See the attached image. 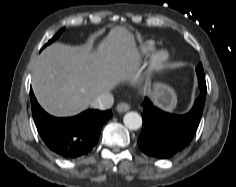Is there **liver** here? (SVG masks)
<instances>
[{
    "label": "liver",
    "instance_id": "6515ba94",
    "mask_svg": "<svg viewBox=\"0 0 236 187\" xmlns=\"http://www.w3.org/2000/svg\"><path fill=\"white\" fill-rule=\"evenodd\" d=\"M140 63L133 34L116 26L94 50L90 44L54 43L36 59L32 89L49 114L67 117L86 110L102 93L131 80Z\"/></svg>",
    "mask_w": 236,
    "mask_h": 187
}]
</instances>
